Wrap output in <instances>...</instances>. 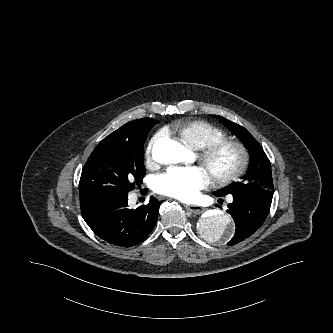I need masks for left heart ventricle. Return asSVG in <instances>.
I'll return each instance as SVG.
<instances>
[{"label":"left heart ventricle","mask_w":333,"mask_h":333,"mask_svg":"<svg viewBox=\"0 0 333 333\" xmlns=\"http://www.w3.org/2000/svg\"><path fill=\"white\" fill-rule=\"evenodd\" d=\"M236 160V154L232 150H225L219 153L209 164L203 165L209 174L211 170H224Z\"/></svg>","instance_id":"left-heart-ventricle-1"}]
</instances>
